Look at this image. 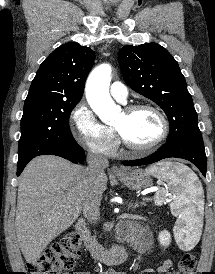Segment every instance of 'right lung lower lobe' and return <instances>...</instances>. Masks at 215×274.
Masks as SVG:
<instances>
[{
	"label": "right lung lower lobe",
	"instance_id": "right-lung-lower-lobe-1",
	"mask_svg": "<svg viewBox=\"0 0 215 274\" xmlns=\"http://www.w3.org/2000/svg\"><path fill=\"white\" fill-rule=\"evenodd\" d=\"M39 155H56V156L63 157L76 164H81L85 160L84 150L77 143L73 145H63V146L53 147L46 151H43ZM30 160L18 162L17 176L21 174L24 167Z\"/></svg>",
	"mask_w": 215,
	"mask_h": 274
}]
</instances>
